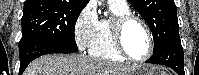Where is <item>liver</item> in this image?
Segmentation results:
<instances>
[{"mask_svg": "<svg viewBox=\"0 0 199 75\" xmlns=\"http://www.w3.org/2000/svg\"><path fill=\"white\" fill-rule=\"evenodd\" d=\"M133 69L82 54H53L32 61L24 75H129Z\"/></svg>", "mask_w": 199, "mask_h": 75, "instance_id": "obj_1", "label": "liver"}]
</instances>
